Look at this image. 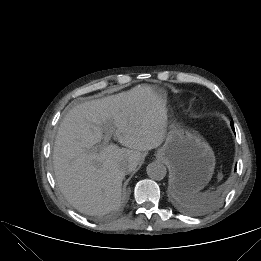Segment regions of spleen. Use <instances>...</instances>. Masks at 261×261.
<instances>
[{
    "instance_id": "spleen-1",
    "label": "spleen",
    "mask_w": 261,
    "mask_h": 261,
    "mask_svg": "<svg viewBox=\"0 0 261 261\" xmlns=\"http://www.w3.org/2000/svg\"><path fill=\"white\" fill-rule=\"evenodd\" d=\"M203 195L201 194H183L179 195V200L182 201L183 203L190 205V206H197L199 202L201 201Z\"/></svg>"
}]
</instances>
